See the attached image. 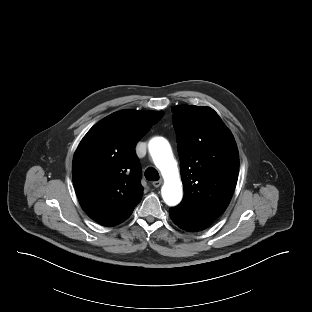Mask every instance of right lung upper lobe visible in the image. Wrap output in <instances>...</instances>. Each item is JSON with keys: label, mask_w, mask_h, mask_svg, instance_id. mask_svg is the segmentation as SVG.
Returning <instances> with one entry per match:
<instances>
[{"label": "right lung upper lobe", "mask_w": 312, "mask_h": 312, "mask_svg": "<svg viewBox=\"0 0 312 312\" xmlns=\"http://www.w3.org/2000/svg\"><path fill=\"white\" fill-rule=\"evenodd\" d=\"M162 111L122 110L99 121L81 140L73 159V183L80 205L103 226L125 221L143 195L136 143Z\"/></svg>", "instance_id": "1"}]
</instances>
